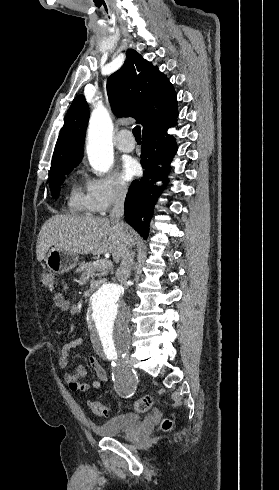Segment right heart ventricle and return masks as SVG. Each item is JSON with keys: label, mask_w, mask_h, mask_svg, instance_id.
<instances>
[{"label": "right heart ventricle", "mask_w": 279, "mask_h": 490, "mask_svg": "<svg viewBox=\"0 0 279 490\" xmlns=\"http://www.w3.org/2000/svg\"><path fill=\"white\" fill-rule=\"evenodd\" d=\"M71 206L76 209V210H79L83 213H86L87 214V209H86V203H85V199L79 194L77 193L76 191H73V194H72V200H71Z\"/></svg>", "instance_id": "e07e8e85"}]
</instances>
